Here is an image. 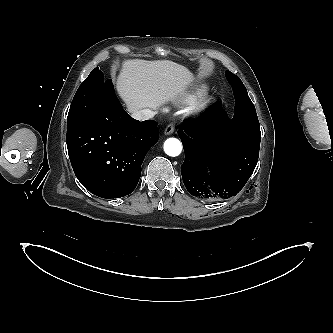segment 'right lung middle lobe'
I'll list each match as a JSON object with an SVG mask.
<instances>
[{"label":"right lung middle lobe","instance_id":"obj_1","mask_svg":"<svg viewBox=\"0 0 333 333\" xmlns=\"http://www.w3.org/2000/svg\"><path fill=\"white\" fill-rule=\"evenodd\" d=\"M110 80H104L102 71L96 67L78 88L68 113L67 126L87 114L98 96L109 87Z\"/></svg>","mask_w":333,"mask_h":333}]
</instances>
